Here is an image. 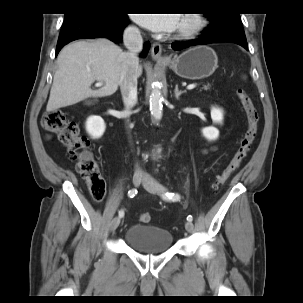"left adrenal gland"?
<instances>
[{
    "mask_svg": "<svg viewBox=\"0 0 303 303\" xmlns=\"http://www.w3.org/2000/svg\"><path fill=\"white\" fill-rule=\"evenodd\" d=\"M183 93H186V91H179L178 85H176L174 90L175 98L178 100Z\"/></svg>",
    "mask_w": 303,
    "mask_h": 303,
    "instance_id": "left-adrenal-gland-1",
    "label": "left adrenal gland"
}]
</instances>
